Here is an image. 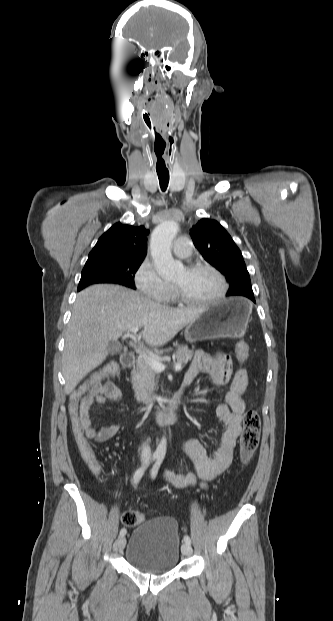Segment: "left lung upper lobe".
Segmentation results:
<instances>
[{
    "label": "left lung upper lobe",
    "mask_w": 333,
    "mask_h": 621,
    "mask_svg": "<svg viewBox=\"0 0 333 621\" xmlns=\"http://www.w3.org/2000/svg\"><path fill=\"white\" fill-rule=\"evenodd\" d=\"M191 237L204 259L229 280L227 296H243L255 302L249 273L241 251L216 220L203 218L191 229Z\"/></svg>",
    "instance_id": "left-lung-upper-lobe-1"
}]
</instances>
